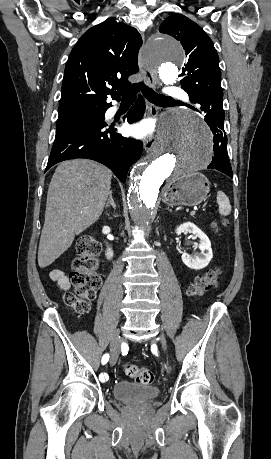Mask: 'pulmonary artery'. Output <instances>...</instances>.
<instances>
[{
    "label": "pulmonary artery",
    "mask_w": 271,
    "mask_h": 459,
    "mask_svg": "<svg viewBox=\"0 0 271 459\" xmlns=\"http://www.w3.org/2000/svg\"><path fill=\"white\" fill-rule=\"evenodd\" d=\"M168 96L170 98H179V102L181 104H184L185 106H190L191 104L194 103V100L188 97V92L183 89H170L169 91L165 90L164 97H168ZM195 107L200 108L201 104L196 103ZM117 109L118 107L116 105L109 107L105 112V117L107 119L111 118L116 113Z\"/></svg>",
    "instance_id": "e3ab8cb5"
}]
</instances>
